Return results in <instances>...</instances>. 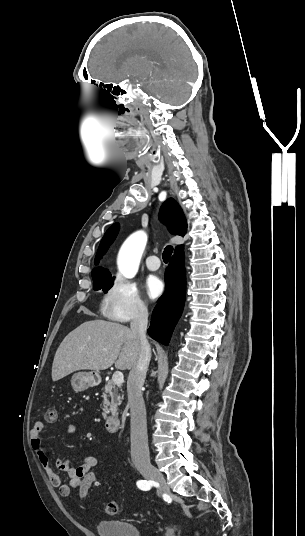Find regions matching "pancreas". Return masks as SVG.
Wrapping results in <instances>:
<instances>
[{
	"label": "pancreas",
	"mask_w": 305,
	"mask_h": 536,
	"mask_svg": "<svg viewBox=\"0 0 305 536\" xmlns=\"http://www.w3.org/2000/svg\"><path fill=\"white\" fill-rule=\"evenodd\" d=\"M120 388L121 386H117V384H114L113 380H109L106 386H104L103 388L104 390L103 392V402H104L103 416L104 418H106L109 412H113V414H118V406H120L122 402V398L118 394Z\"/></svg>",
	"instance_id": "cf45deb5"
}]
</instances>
